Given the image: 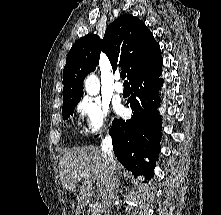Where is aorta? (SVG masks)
Instances as JSON below:
<instances>
[{
	"label": "aorta",
	"mask_w": 221,
	"mask_h": 215,
	"mask_svg": "<svg viewBox=\"0 0 221 215\" xmlns=\"http://www.w3.org/2000/svg\"><path fill=\"white\" fill-rule=\"evenodd\" d=\"M100 90V84L94 74L89 75L85 80V91L89 95H97Z\"/></svg>",
	"instance_id": "762f6f07"
}]
</instances>
